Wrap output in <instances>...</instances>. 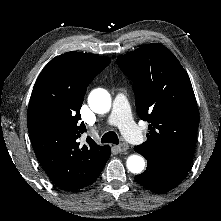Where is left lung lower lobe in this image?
<instances>
[{
  "label": "left lung lower lobe",
  "instance_id": "1",
  "mask_svg": "<svg viewBox=\"0 0 221 221\" xmlns=\"http://www.w3.org/2000/svg\"><path fill=\"white\" fill-rule=\"evenodd\" d=\"M190 168V164L151 158L147 159L146 171L136 175L135 180L148 190L165 193L178 186L187 176Z\"/></svg>",
  "mask_w": 221,
  "mask_h": 221
}]
</instances>
